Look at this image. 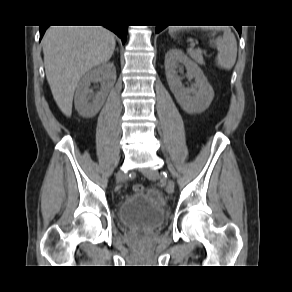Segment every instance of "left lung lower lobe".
Masks as SVG:
<instances>
[{"label": "left lung lower lobe", "mask_w": 292, "mask_h": 292, "mask_svg": "<svg viewBox=\"0 0 292 292\" xmlns=\"http://www.w3.org/2000/svg\"><path fill=\"white\" fill-rule=\"evenodd\" d=\"M165 27H166V26H164V25H157V26H156V29H155L156 33H159V32L162 31ZM235 28L237 29L238 33L241 35V26H238V27L235 26Z\"/></svg>", "instance_id": "left-lung-lower-lobe-1"}]
</instances>
